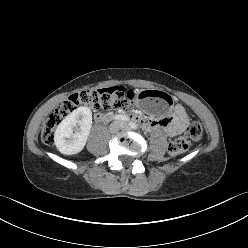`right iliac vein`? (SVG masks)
<instances>
[{
	"label": "right iliac vein",
	"instance_id": "63e3f726",
	"mask_svg": "<svg viewBox=\"0 0 248 248\" xmlns=\"http://www.w3.org/2000/svg\"><path fill=\"white\" fill-rule=\"evenodd\" d=\"M117 129H118V126H117V125H113V126H111L110 131H111L112 133H114V132L117 131Z\"/></svg>",
	"mask_w": 248,
	"mask_h": 248
}]
</instances>
